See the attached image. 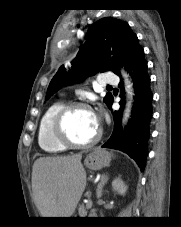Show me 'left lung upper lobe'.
Segmentation results:
<instances>
[{
    "label": "left lung upper lobe",
    "instance_id": "obj_1",
    "mask_svg": "<svg viewBox=\"0 0 181 227\" xmlns=\"http://www.w3.org/2000/svg\"><path fill=\"white\" fill-rule=\"evenodd\" d=\"M137 44L138 38L127 22L112 17L95 22L90 26L86 41L71 61V66L65 69L62 65L51 80L46 99L63 86L80 82L97 72L112 70L119 74L112 63L125 66L128 56ZM112 100V94L107 93L104 98L107 106Z\"/></svg>",
    "mask_w": 181,
    "mask_h": 227
}]
</instances>
